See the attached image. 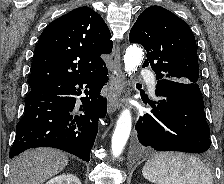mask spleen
Wrapping results in <instances>:
<instances>
[{
	"instance_id": "obj_1",
	"label": "spleen",
	"mask_w": 224,
	"mask_h": 184,
	"mask_svg": "<svg viewBox=\"0 0 224 184\" xmlns=\"http://www.w3.org/2000/svg\"><path fill=\"white\" fill-rule=\"evenodd\" d=\"M142 174L156 184H213L211 171L205 163L185 153L156 154L145 163Z\"/></svg>"
}]
</instances>
